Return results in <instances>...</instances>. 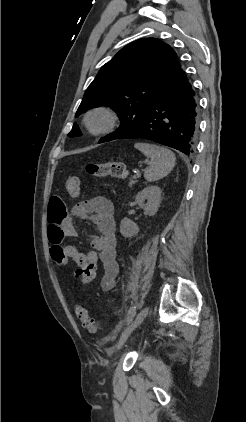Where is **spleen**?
Returning a JSON list of instances; mask_svg holds the SVG:
<instances>
[{
    "instance_id": "spleen-1",
    "label": "spleen",
    "mask_w": 246,
    "mask_h": 422,
    "mask_svg": "<svg viewBox=\"0 0 246 422\" xmlns=\"http://www.w3.org/2000/svg\"><path fill=\"white\" fill-rule=\"evenodd\" d=\"M134 146L151 158L149 167L144 172V177L148 182L160 180L172 171L176 157L168 148L149 143H136Z\"/></svg>"
}]
</instances>
